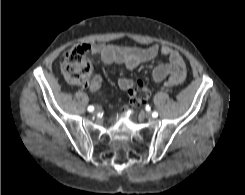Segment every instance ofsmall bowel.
I'll return each mask as SVG.
<instances>
[{"instance_id": "c3829d8e", "label": "small bowel", "mask_w": 245, "mask_h": 195, "mask_svg": "<svg viewBox=\"0 0 245 195\" xmlns=\"http://www.w3.org/2000/svg\"><path fill=\"white\" fill-rule=\"evenodd\" d=\"M88 54L96 56L104 64H119L127 69H134L141 64L154 61L159 54L168 57L167 63L156 64L152 71V78L159 83L164 81L166 87H176L181 85L187 76V69L184 59L180 53L164 45L153 44L147 48L134 46H118L111 44H94L86 46ZM103 79L100 75H95L86 84L91 92H99ZM118 86L125 91H130L133 80L129 78H119Z\"/></svg>"}]
</instances>
